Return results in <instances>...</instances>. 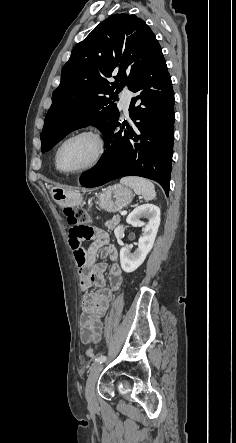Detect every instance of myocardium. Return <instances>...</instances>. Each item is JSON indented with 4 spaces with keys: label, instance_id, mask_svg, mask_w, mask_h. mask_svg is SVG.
Wrapping results in <instances>:
<instances>
[{
    "label": "myocardium",
    "instance_id": "myocardium-1",
    "mask_svg": "<svg viewBox=\"0 0 236 443\" xmlns=\"http://www.w3.org/2000/svg\"><path fill=\"white\" fill-rule=\"evenodd\" d=\"M82 136H89L95 141L96 146H97V152H96L95 158L93 159V161L90 164H88L87 166H85L83 168L76 169V170H70V171L63 170L60 167V152H61L62 148L69 141H71L75 138H78V137H82ZM106 150H107L106 140H105L103 134L99 130H97L95 128H83V129L73 132L72 134L67 136L59 144V146L56 150V154H55V165H56V168L61 173H64L67 175L83 174V173H86V172H89V171L95 169L101 163V161L103 160V158L105 156Z\"/></svg>",
    "mask_w": 236,
    "mask_h": 443
}]
</instances>
